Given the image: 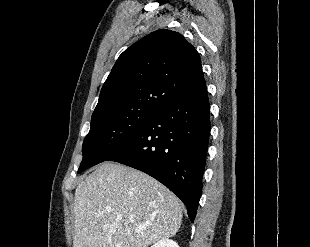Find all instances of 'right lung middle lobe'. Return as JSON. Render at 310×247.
I'll return each instance as SVG.
<instances>
[{"label":"right lung middle lobe","instance_id":"1","mask_svg":"<svg viewBox=\"0 0 310 247\" xmlns=\"http://www.w3.org/2000/svg\"><path fill=\"white\" fill-rule=\"evenodd\" d=\"M157 111L151 107H135L92 117L90 131L83 142V160L78 173L107 160L125 147Z\"/></svg>","mask_w":310,"mask_h":247}]
</instances>
